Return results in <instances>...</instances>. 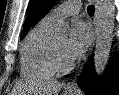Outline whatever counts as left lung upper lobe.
<instances>
[{
  "instance_id": "obj_1",
  "label": "left lung upper lobe",
  "mask_w": 119,
  "mask_h": 95,
  "mask_svg": "<svg viewBox=\"0 0 119 95\" xmlns=\"http://www.w3.org/2000/svg\"><path fill=\"white\" fill-rule=\"evenodd\" d=\"M56 0H30L27 11V19L24 24L21 39L52 7Z\"/></svg>"
}]
</instances>
